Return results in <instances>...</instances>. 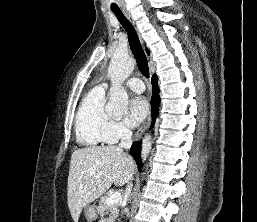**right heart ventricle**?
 Here are the masks:
<instances>
[{
	"label": "right heart ventricle",
	"instance_id": "e07e8e85",
	"mask_svg": "<svg viewBox=\"0 0 257 222\" xmlns=\"http://www.w3.org/2000/svg\"><path fill=\"white\" fill-rule=\"evenodd\" d=\"M105 104L102 87L92 89L82 100L75 118L76 139L81 145L97 147L108 143L107 128L112 121Z\"/></svg>",
	"mask_w": 257,
	"mask_h": 222
}]
</instances>
